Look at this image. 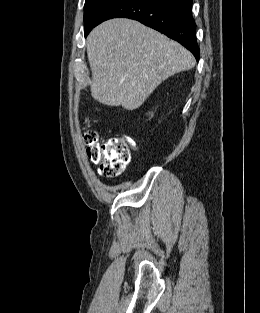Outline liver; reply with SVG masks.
I'll use <instances>...</instances> for the list:
<instances>
[{
  "label": "liver",
  "instance_id": "liver-1",
  "mask_svg": "<svg viewBox=\"0 0 260 313\" xmlns=\"http://www.w3.org/2000/svg\"><path fill=\"white\" fill-rule=\"evenodd\" d=\"M86 46L92 97L127 110L139 108L163 80L195 65L182 45L131 19L101 23Z\"/></svg>",
  "mask_w": 260,
  "mask_h": 313
}]
</instances>
